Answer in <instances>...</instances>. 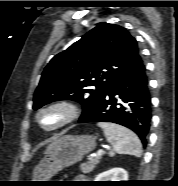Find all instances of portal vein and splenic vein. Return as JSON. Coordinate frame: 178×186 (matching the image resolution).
Here are the masks:
<instances>
[{
  "mask_svg": "<svg viewBox=\"0 0 178 186\" xmlns=\"http://www.w3.org/2000/svg\"><path fill=\"white\" fill-rule=\"evenodd\" d=\"M104 153L103 149H100L95 155H93L90 159H94L96 157H100Z\"/></svg>",
  "mask_w": 178,
  "mask_h": 186,
  "instance_id": "obj_1",
  "label": "portal vein and splenic vein"
}]
</instances>
